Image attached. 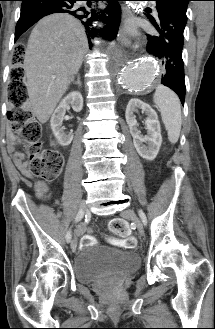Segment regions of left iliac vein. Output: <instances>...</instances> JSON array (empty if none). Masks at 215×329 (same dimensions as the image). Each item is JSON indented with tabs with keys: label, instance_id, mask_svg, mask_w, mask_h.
Returning <instances> with one entry per match:
<instances>
[{
	"label": "left iliac vein",
	"instance_id": "left-iliac-vein-1",
	"mask_svg": "<svg viewBox=\"0 0 215 329\" xmlns=\"http://www.w3.org/2000/svg\"><path fill=\"white\" fill-rule=\"evenodd\" d=\"M122 217L126 218V219H130L131 221L134 222V224L136 225L139 233L141 235L144 234V226L142 221L139 219V217L136 215V213L134 212V210L132 209H126L121 213Z\"/></svg>",
	"mask_w": 215,
	"mask_h": 329
}]
</instances>
